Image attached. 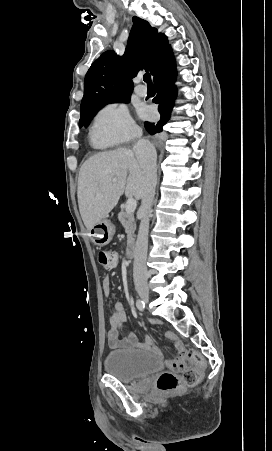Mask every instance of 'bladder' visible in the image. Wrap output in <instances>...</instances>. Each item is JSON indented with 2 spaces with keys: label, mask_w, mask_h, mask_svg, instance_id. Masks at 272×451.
<instances>
[{
  "label": "bladder",
  "mask_w": 272,
  "mask_h": 451,
  "mask_svg": "<svg viewBox=\"0 0 272 451\" xmlns=\"http://www.w3.org/2000/svg\"><path fill=\"white\" fill-rule=\"evenodd\" d=\"M162 367L163 363L157 356L141 351L111 350L105 358L106 374L123 383L147 378Z\"/></svg>",
  "instance_id": "bladder-1"
}]
</instances>
